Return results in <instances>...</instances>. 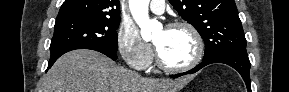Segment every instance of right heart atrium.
Masks as SVG:
<instances>
[{"label": "right heart atrium", "instance_id": "obj_1", "mask_svg": "<svg viewBox=\"0 0 289 92\" xmlns=\"http://www.w3.org/2000/svg\"><path fill=\"white\" fill-rule=\"evenodd\" d=\"M117 45L122 58L132 68L144 70L152 63L153 52L133 25L123 23L119 27Z\"/></svg>", "mask_w": 289, "mask_h": 92}]
</instances>
